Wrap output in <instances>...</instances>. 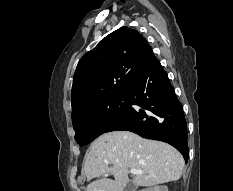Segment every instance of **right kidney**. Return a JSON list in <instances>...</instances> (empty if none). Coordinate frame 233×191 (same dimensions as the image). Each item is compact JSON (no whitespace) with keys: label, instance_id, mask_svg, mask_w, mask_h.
<instances>
[{"label":"right kidney","instance_id":"obj_1","mask_svg":"<svg viewBox=\"0 0 233 191\" xmlns=\"http://www.w3.org/2000/svg\"><path fill=\"white\" fill-rule=\"evenodd\" d=\"M147 191H168L167 186H155L154 188Z\"/></svg>","mask_w":233,"mask_h":191}]
</instances>
